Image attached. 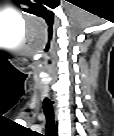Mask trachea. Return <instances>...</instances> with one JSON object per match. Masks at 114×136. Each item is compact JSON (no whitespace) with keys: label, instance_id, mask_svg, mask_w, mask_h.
<instances>
[{"label":"trachea","instance_id":"1","mask_svg":"<svg viewBox=\"0 0 114 136\" xmlns=\"http://www.w3.org/2000/svg\"><path fill=\"white\" fill-rule=\"evenodd\" d=\"M43 109L47 120L46 132L47 136H53L54 133V111L51 101L45 98L43 101Z\"/></svg>","mask_w":114,"mask_h":136}]
</instances>
